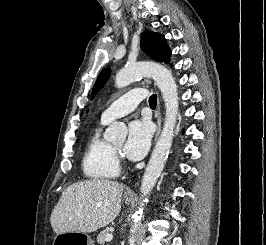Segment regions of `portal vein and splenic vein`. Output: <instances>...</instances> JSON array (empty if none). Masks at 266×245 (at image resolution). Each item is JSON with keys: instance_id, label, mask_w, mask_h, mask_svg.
<instances>
[{"instance_id": "obj_1", "label": "portal vein and splenic vein", "mask_w": 266, "mask_h": 245, "mask_svg": "<svg viewBox=\"0 0 266 245\" xmlns=\"http://www.w3.org/2000/svg\"><path fill=\"white\" fill-rule=\"evenodd\" d=\"M112 239H113V235H106L105 241L106 243H109V241H112Z\"/></svg>"}]
</instances>
